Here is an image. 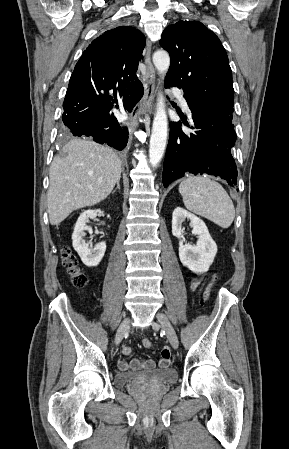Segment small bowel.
Masks as SVG:
<instances>
[{
	"mask_svg": "<svg viewBox=\"0 0 289 449\" xmlns=\"http://www.w3.org/2000/svg\"><path fill=\"white\" fill-rule=\"evenodd\" d=\"M198 284H199L198 280L194 281L192 283V289H195L198 286ZM122 353L126 356L130 355L132 353L131 347L129 346L124 347ZM159 358H160L159 365L162 369H170L172 367V362L170 361L171 348L169 346H164L162 348ZM118 366L121 371L139 370V369L152 370L156 367V363L152 359L135 358L131 361L120 360L118 362Z\"/></svg>",
	"mask_w": 289,
	"mask_h": 449,
	"instance_id": "obj_1",
	"label": "small bowel"
}]
</instances>
